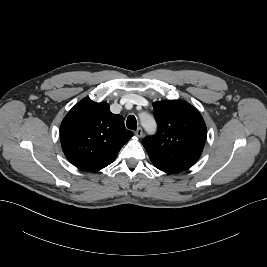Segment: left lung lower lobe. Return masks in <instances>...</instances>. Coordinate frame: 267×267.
<instances>
[{
    "label": "left lung lower lobe",
    "instance_id": "0a47b994",
    "mask_svg": "<svg viewBox=\"0 0 267 267\" xmlns=\"http://www.w3.org/2000/svg\"><path fill=\"white\" fill-rule=\"evenodd\" d=\"M161 171L163 172H166V173H178V172H181V171H178V170H171V169H160Z\"/></svg>",
    "mask_w": 267,
    "mask_h": 267
}]
</instances>
